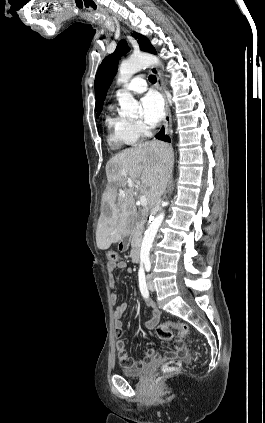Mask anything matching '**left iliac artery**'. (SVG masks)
Here are the masks:
<instances>
[{
    "label": "left iliac artery",
    "instance_id": "obj_1",
    "mask_svg": "<svg viewBox=\"0 0 265 423\" xmlns=\"http://www.w3.org/2000/svg\"><path fill=\"white\" fill-rule=\"evenodd\" d=\"M150 263L149 262H147V263H145V268H146V271H149L150 270Z\"/></svg>",
    "mask_w": 265,
    "mask_h": 423
}]
</instances>
